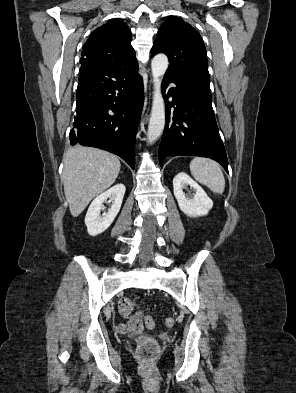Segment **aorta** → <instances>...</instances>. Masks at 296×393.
<instances>
[{
  "instance_id": "obj_1",
  "label": "aorta",
  "mask_w": 296,
  "mask_h": 393,
  "mask_svg": "<svg viewBox=\"0 0 296 393\" xmlns=\"http://www.w3.org/2000/svg\"><path fill=\"white\" fill-rule=\"evenodd\" d=\"M168 68V58L165 54H157L151 62L154 82L153 101L148 124V142L153 143L163 132L165 126V103L161 93V81Z\"/></svg>"
}]
</instances>
